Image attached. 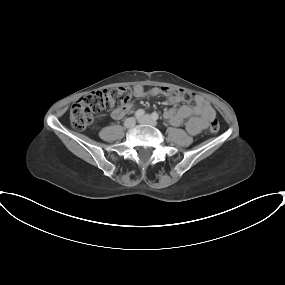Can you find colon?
<instances>
[{"label":"colon","mask_w":285,"mask_h":285,"mask_svg":"<svg viewBox=\"0 0 285 285\" xmlns=\"http://www.w3.org/2000/svg\"><path fill=\"white\" fill-rule=\"evenodd\" d=\"M162 91L168 94L180 95L183 101L190 104L196 101L195 95L186 90H172L169 87H162ZM131 95L132 91L129 87L103 89L89 93L72 105L69 113L71 125L77 130H84L91 125L95 115L126 104ZM219 130L218 120L213 119L210 122V131L217 133Z\"/></svg>","instance_id":"obj_1"}]
</instances>
